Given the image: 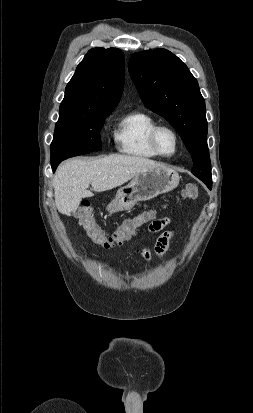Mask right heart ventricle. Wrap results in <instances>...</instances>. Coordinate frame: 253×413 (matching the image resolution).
I'll use <instances>...</instances> for the list:
<instances>
[{
    "mask_svg": "<svg viewBox=\"0 0 253 413\" xmlns=\"http://www.w3.org/2000/svg\"><path fill=\"white\" fill-rule=\"evenodd\" d=\"M157 121L148 113L134 110L125 114L114 131L117 150L136 158H155L158 155L149 144V132Z\"/></svg>",
    "mask_w": 253,
    "mask_h": 413,
    "instance_id": "e07e8e85",
    "label": "right heart ventricle"
}]
</instances>
